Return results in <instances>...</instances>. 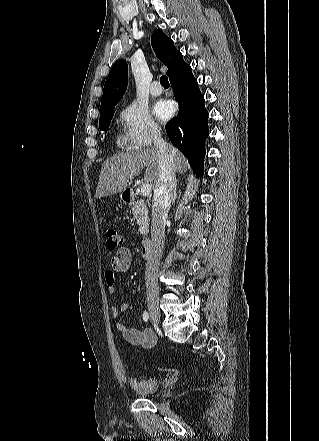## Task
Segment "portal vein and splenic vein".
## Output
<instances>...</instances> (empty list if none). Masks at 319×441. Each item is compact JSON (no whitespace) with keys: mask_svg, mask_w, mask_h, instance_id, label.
Returning <instances> with one entry per match:
<instances>
[{"mask_svg":"<svg viewBox=\"0 0 319 441\" xmlns=\"http://www.w3.org/2000/svg\"><path fill=\"white\" fill-rule=\"evenodd\" d=\"M151 193V186L150 184H143L141 187V195L148 196Z\"/></svg>","mask_w":319,"mask_h":441,"instance_id":"18ae733b","label":"portal vein and splenic vein"}]
</instances>
